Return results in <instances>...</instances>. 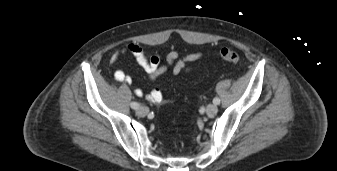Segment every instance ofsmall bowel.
Returning a JSON list of instances; mask_svg holds the SVG:
<instances>
[{
    "mask_svg": "<svg viewBox=\"0 0 337 171\" xmlns=\"http://www.w3.org/2000/svg\"><path fill=\"white\" fill-rule=\"evenodd\" d=\"M125 55L134 57L137 63L147 73L149 79L155 81L169 69H171L172 76H177L183 71L189 72L192 68L189 67L188 64L201 59L204 56V52L196 51L180 57L179 52L173 50L166 55L165 62L162 64L158 53L147 55L141 46L135 43H129L112 54L110 63L117 62ZM114 79L124 84H130L132 82L131 76L122 69H116L114 71ZM134 92L139 97L144 95V91L141 88H136ZM146 97L153 103L160 102L163 99L162 91L159 87L154 88Z\"/></svg>",
    "mask_w": 337,
    "mask_h": 171,
    "instance_id": "1",
    "label": "small bowel"
}]
</instances>
